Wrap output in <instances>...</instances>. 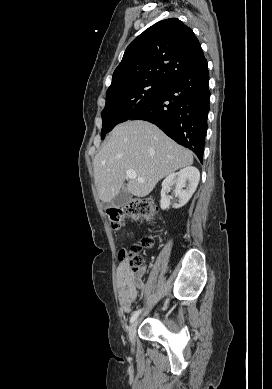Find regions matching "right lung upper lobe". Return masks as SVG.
I'll list each match as a JSON object with an SVG mask.
<instances>
[{"label": "right lung upper lobe", "instance_id": "1", "mask_svg": "<svg viewBox=\"0 0 272 389\" xmlns=\"http://www.w3.org/2000/svg\"><path fill=\"white\" fill-rule=\"evenodd\" d=\"M203 59L201 45L188 26L177 18L162 20L129 44L107 91L150 79L167 82Z\"/></svg>", "mask_w": 272, "mask_h": 389}]
</instances>
